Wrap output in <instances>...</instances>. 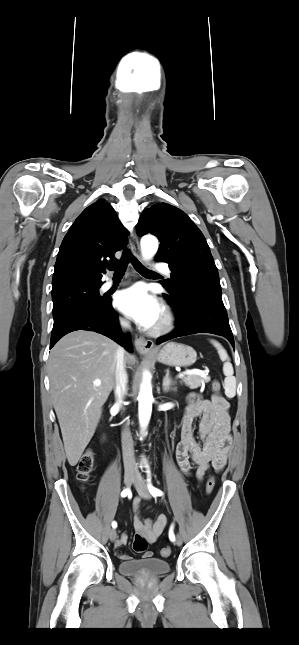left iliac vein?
Listing matches in <instances>:
<instances>
[{
  "label": "left iliac vein",
  "mask_w": 299,
  "mask_h": 645,
  "mask_svg": "<svg viewBox=\"0 0 299 645\" xmlns=\"http://www.w3.org/2000/svg\"><path fill=\"white\" fill-rule=\"evenodd\" d=\"M135 488L138 492V494L143 498V499H150V493L148 491L147 485L144 483L141 474L137 473L135 482H134ZM176 544L180 546L182 544V538L180 535L177 536L176 539Z\"/></svg>",
  "instance_id": "left-iliac-vein-1"
}]
</instances>
